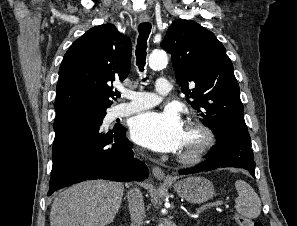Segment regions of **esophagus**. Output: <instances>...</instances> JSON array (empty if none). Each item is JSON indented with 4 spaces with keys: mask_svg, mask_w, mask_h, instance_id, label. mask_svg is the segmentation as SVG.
Masks as SVG:
<instances>
[{
    "mask_svg": "<svg viewBox=\"0 0 297 226\" xmlns=\"http://www.w3.org/2000/svg\"><path fill=\"white\" fill-rule=\"evenodd\" d=\"M139 20H140V22H147L148 18L141 17ZM152 174L156 179H158L160 181H171V178L166 177L165 172L158 166L152 167Z\"/></svg>",
    "mask_w": 297,
    "mask_h": 226,
    "instance_id": "1",
    "label": "esophagus"
}]
</instances>
